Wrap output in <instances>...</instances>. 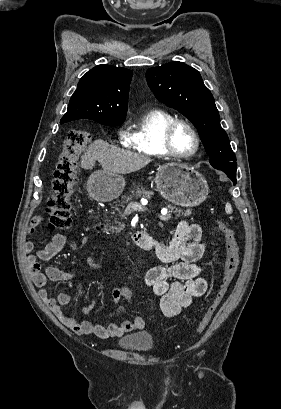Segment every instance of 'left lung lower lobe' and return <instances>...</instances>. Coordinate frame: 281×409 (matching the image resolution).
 I'll return each instance as SVG.
<instances>
[{
  "mask_svg": "<svg viewBox=\"0 0 281 409\" xmlns=\"http://www.w3.org/2000/svg\"><path fill=\"white\" fill-rule=\"evenodd\" d=\"M218 170H222L225 172L228 177L233 181L234 185L236 184V169H231V168H218Z\"/></svg>",
  "mask_w": 281,
  "mask_h": 409,
  "instance_id": "obj_1",
  "label": "left lung lower lobe"
}]
</instances>
